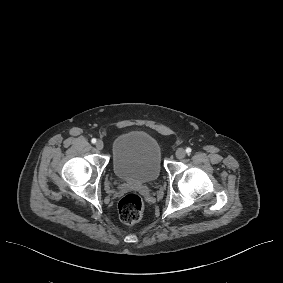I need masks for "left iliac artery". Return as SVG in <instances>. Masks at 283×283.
Returning a JSON list of instances; mask_svg holds the SVG:
<instances>
[{"label":"left iliac artery","mask_w":283,"mask_h":283,"mask_svg":"<svg viewBox=\"0 0 283 283\" xmlns=\"http://www.w3.org/2000/svg\"><path fill=\"white\" fill-rule=\"evenodd\" d=\"M191 151H192V150H191V148H189V147H188V148H186V153L190 154V153H191Z\"/></svg>","instance_id":"1"}]
</instances>
